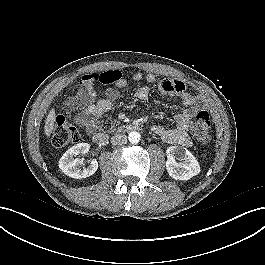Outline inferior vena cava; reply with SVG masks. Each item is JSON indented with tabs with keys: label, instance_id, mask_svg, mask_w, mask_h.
Instances as JSON below:
<instances>
[{
	"label": "inferior vena cava",
	"instance_id": "1",
	"mask_svg": "<svg viewBox=\"0 0 265 265\" xmlns=\"http://www.w3.org/2000/svg\"><path fill=\"white\" fill-rule=\"evenodd\" d=\"M126 142H127V136L125 134L118 133L111 137L112 145H122L126 144Z\"/></svg>",
	"mask_w": 265,
	"mask_h": 265
}]
</instances>
